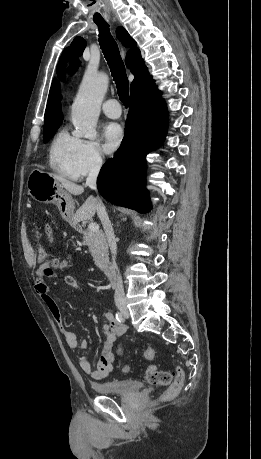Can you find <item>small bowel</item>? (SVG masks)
Returning a JSON list of instances; mask_svg holds the SVG:
<instances>
[{
    "instance_id": "small-bowel-1",
    "label": "small bowel",
    "mask_w": 261,
    "mask_h": 459,
    "mask_svg": "<svg viewBox=\"0 0 261 459\" xmlns=\"http://www.w3.org/2000/svg\"><path fill=\"white\" fill-rule=\"evenodd\" d=\"M47 230L51 232L50 227H48ZM54 278H59L65 284L81 291L83 290V286L75 277L71 275H56L53 270L49 269L47 264H43L37 272L35 291L48 308L54 321L62 330L67 345L73 349H86L88 347L87 341L81 338L78 333L66 329L64 325L60 309L51 295L50 288L46 283V280ZM103 329L105 332V342L97 366L94 368L87 357H81L79 359L80 368L95 380H101L113 371V364L115 360L113 346L120 336L125 333L126 326L119 322L114 314L108 312L104 315Z\"/></svg>"
}]
</instances>
